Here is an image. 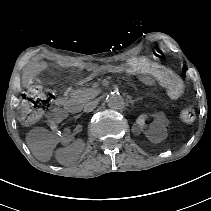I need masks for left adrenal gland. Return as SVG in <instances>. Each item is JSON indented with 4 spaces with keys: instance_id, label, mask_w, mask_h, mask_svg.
Returning a JSON list of instances; mask_svg holds the SVG:
<instances>
[{
    "instance_id": "left-adrenal-gland-1",
    "label": "left adrenal gland",
    "mask_w": 211,
    "mask_h": 211,
    "mask_svg": "<svg viewBox=\"0 0 211 211\" xmlns=\"http://www.w3.org/2000/svg\"><path fill=\"white\" fill-rule=\"evenodd\" d=\"M139 100H141V98L134 99L133 101L130 102V104L133 105L134 102L139 101Z\"/></svg>"
}]
</instances>
